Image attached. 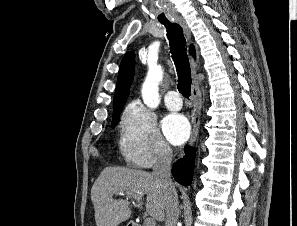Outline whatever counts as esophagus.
Returning <instances> with one entry per match:
<instances>
[{
    "mask_svg": "<svg viewBox=\"0 0 297 226\" xmlns=\"http://www.w3.org/2000/svg\"><path fill=\"white\" fill-rule=\"evenodd\" d=\"M176 22L181 25L188 40L190 41L191 32L186 21L182 17H177ZM191 67L193 72V84H192V90H191V100L193 102V111H192V133L189 140V145H193L198 137L199 128H200L201 107H202L200 80L198 78L197 64L193 60V58H191Z\"/></svg>",
    "mask_w": 297,
    "mask_h": 226,
    "instance_id": "34e87169",
    "label": "esophagus"
}]
</instances>
